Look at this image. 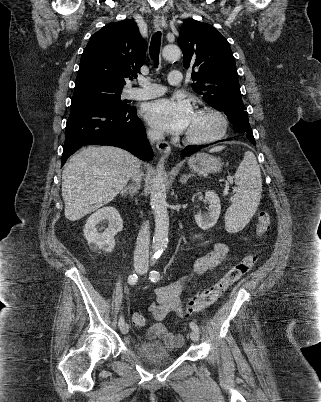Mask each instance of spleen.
<instances>
[{
  "label": "spleen",
  "instance_id": "1",
  "mask_svg": "<svg viewBox=\"0 0 321 402\" xmlns=\"http://www.w3.org/2000/svg\"><path fill=\"white\" fill-rule=\"evenodd\" d=\"M224 146L210 149L218 152ZM236 194L231 197V206L225 214V228L229 233L242 230L257 210L262 193V178L260 167L255 155L246 151L244 158L235 173Z\"/></svg>",
  "mask_w": 321,
  "mask_h": 402
}]
</instances>
